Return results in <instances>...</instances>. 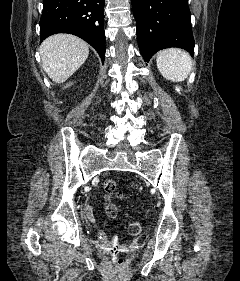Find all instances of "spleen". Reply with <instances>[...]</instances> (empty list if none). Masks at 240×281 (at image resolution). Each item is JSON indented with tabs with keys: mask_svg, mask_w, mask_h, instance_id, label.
I'll use <instances>...</instances> for the list:
<instances>
[{
	"mask_svg": "<svg viewBox=\"0 0 240 281\" xmlns=\"http://www.w3.org/2000/svg\"><path fill=\"white\" fill-rule=\"evenodd\" d=\"M156 64L161 75L173 82L184 81L192 69L190 55L178 48H169L160 51L156 57Z\"/></svg>",
	"mask_w": 240,
	"mask_h": 281,
	"instance_id": "3e777b00",
	"label": "spleen"
}]
</instances>
